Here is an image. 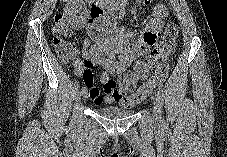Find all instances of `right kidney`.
Here are the masks:
<instances>
[{
	"label": "right kidney",
	"mask_w": 227,
	"mask_h": 157,
	"mask_svg": "<svg viewBox=\"0 0 227 157\" xmlns=\"http://www.w3.org/2000/svg\"><path fill=\"white\" fill-rule=\"evenodd\" d=\"M77 13L78 9L74 5V3L67 5L64 9V16L66 17L67 21L74 27L79 24Z\"/></svg>",
	"instance_id": "ca27d5eb"
}]
</instances>
